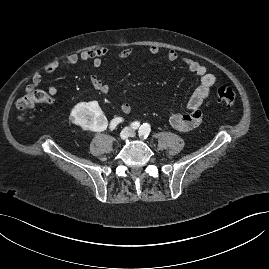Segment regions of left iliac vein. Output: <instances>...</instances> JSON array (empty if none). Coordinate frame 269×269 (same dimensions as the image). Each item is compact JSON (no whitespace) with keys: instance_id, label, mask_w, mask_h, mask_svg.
<instances>
[{"instance_id":"1","label":"left iliac vein","mask_w":269,"mask_h":269,"mask_svg":"<svg viewBox=\"0 0 269 269\" xmlns=\"http://www.w3.org/2000/svg\"><path fill=\"white\" fill-rule=\"evenodd\" d=\"M135 135H136V133L134 131H131L130 136L134 137Z\"/></svg>"}]
</instances>
